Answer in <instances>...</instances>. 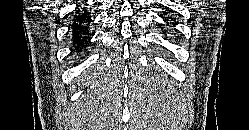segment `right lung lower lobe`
<instances>
[{
  "instance_id": "obj_1",
  "label": "right lung lower lobe",
  "mask_w": 249,
  "mask_h": 130,
  "mask_svg": "<svg viewBox=\"0 0 249 130\" xmlns=\"http://www.w3.org/2000/svg\"><path fill=\"white\" fill-rule=\"evenodd\" d=\"M86 7L77 9L75 11V16L73 18V23L71 24L70 34L71 42L74 51L79 52L83 48H86L87 41L92 33L89 31L91 23V13L87 12Z\"/></svg>"
}]
</instances>
